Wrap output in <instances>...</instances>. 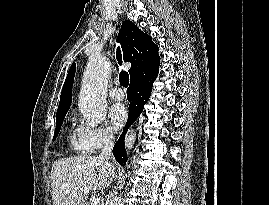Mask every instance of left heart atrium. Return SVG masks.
Wrapping results in <instances>:
<instances>
[{"instance_id":"1","label":"left heart atrium","mask_w":269,"mask_h":205,"mask_svg":"<svg viewBox=\"0 0 269 205\" xmlns=\"http://www.w3.org/2000/svg\"><path fill=\"white\" fill-rule=\"evenodd\" d=\"M127 110L122 104H114L109 110V118L111 129L116 131L119 130L127 120Z\"/></svg>"}]
</instances>
